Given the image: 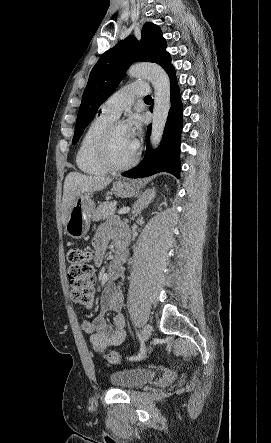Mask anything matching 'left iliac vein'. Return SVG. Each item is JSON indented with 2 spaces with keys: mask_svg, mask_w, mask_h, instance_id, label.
<instances>
[{
  "mask_svg": "<svg viewBox=\"0 0 271 443\" xmlns=\"http://www.w3.org/2000/svg\"><path fill=\"white\" fill-rule=\"evenodd\" d=\"M151 326L149 324H146L142 330V340L147 341L151 335Z\"/></svg>",
  "mask_w": 271,
  "mask_h": 443,
  "instance_id": "obj_1",
  "label": "left iliac vein"
}]
</instances>
